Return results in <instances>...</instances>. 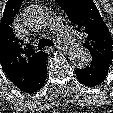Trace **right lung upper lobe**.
Wrapping results in <instances>:
<instances>
[{"label":"right lung upper lobe","mask_w":113,"mask_h":113,"mask_svg":"<svg viewBox=\"0 0 113 113\" xmlns=\"http://www.w3.org/2000/svg\"><path fill=\"white\" fill-rule=\"evenodd\" d=\"M23 0H8L0 22V63L3 71L20 90L32 83L47 60V53L25 45L13 32L12 22Z\"/></svg>","instance_id":"obj_1"}]
</instances>
